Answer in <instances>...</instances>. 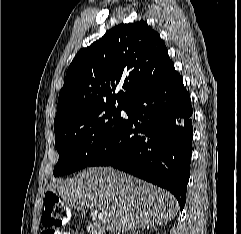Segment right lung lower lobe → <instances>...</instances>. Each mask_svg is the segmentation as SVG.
<instances>
[{
	"instance_id": "right-lung-lower-lobe-1",
	"label": "right lung lower lobe",
	"mask_w": 241,
	"mask_h": 234,
	"mask_svg": "<svg viewBox=\"0 0 241 234\" xmlns=\"http://www.w3.org/2000/svg\"><path fill=\"white\" fill-rule=\"evenodd\" d=\"M128 119L88 166H112L169 190L186 202L192 154V106L171 63L125 107Z\"/></svg>"
}]
</instances>
